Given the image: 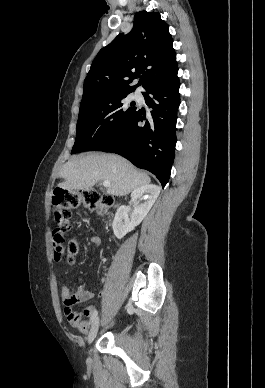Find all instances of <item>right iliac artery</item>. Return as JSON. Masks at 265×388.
I'll return each mask as SVG.
<instances>
[{
    "instance_id": "right-iliac-artery-1",
    "label": "right iliac artery",
    "mask_w": 265,
    "mask_h": 388,
    "mask_svg": "<svg viewBox=\"0 0 265 388\" xmlns=\"http://www.w3.org/2000/svg\"><path fill=\"white\" fill-rule=\"evenodd\" d=\"M97 315H98V311L95 310V311L93 312V314L91 315L90 324L94 322V320L96 319Z\"/></svg>"
}]
</instances>
